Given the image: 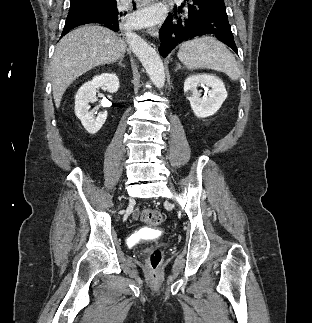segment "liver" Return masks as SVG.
I'll use <instances>...</instances> for the list:
<instances>
[{
  "mask_svg": "<svg viewBox=\"0 0 312 323\" xmlns=\"http://www.w3.org/2000/svg\"><path fill=\"white\" fill-rule=\"evenodd\" d=\"M126 44L115 32L98 26L85 24L66 34L57 44L51 62L53 98L59 108L68 86L96 66L117 62L124 58Z\"/></svg>",
  "mask_w": 312,
  "mask_h": 323,
  "instance_id": "obj_1",
  "label": "liver"
}]
</instances>
